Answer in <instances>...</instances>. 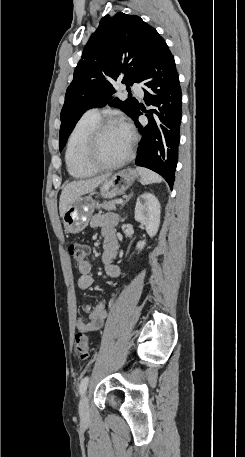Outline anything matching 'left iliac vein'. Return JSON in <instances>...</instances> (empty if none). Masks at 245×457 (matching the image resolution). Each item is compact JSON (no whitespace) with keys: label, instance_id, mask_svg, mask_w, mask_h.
Wrapping results in <instances>:
<instances>
[{"label":"left iliac vein","instance_id":"left-iliac-vein-1","mask_svg":"<svg viewBox=\"0 0 245 457\" xmlns=\"http://www.w3.org/2000/svg\"><path fill=\"white\" fill-rule=\"evenodd\" d=\"M79 414L82 419H88L89 418V403H88V397L83 396L82 399L80 400L79 404Z\"/></svg>","mask_w":245,"mask_h":457}]
</instances>
